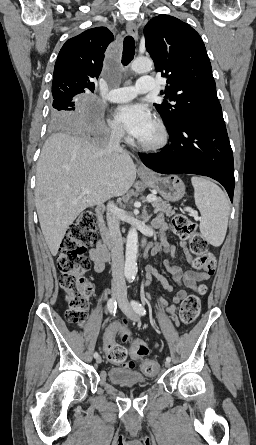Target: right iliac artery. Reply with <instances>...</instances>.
<instances>
[{
	"label": "right iliac artery",
	"mask_w": 256,
	"mask_h": 445,
	"mask_svg": "<svg viewBox=\"0 0 256 445\" xmlns=\"http://www.w3.org/2000/svg\"><path fill=\"white\" fill-rule=\"evenodd\" d=\"M107 308H108L109 312L111 314H114V316H115L117 304H116V301L113 298L108 300ZM98 356H99V354L97 352H95L94 353V358H97Z\"/></svg>",
	"instance_id": "82829eb1"
}]
</instances>
